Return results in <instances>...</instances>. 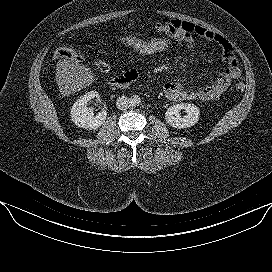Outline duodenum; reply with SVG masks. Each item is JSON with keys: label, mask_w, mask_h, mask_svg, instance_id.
Listing matches in <instances>:
<instances>
[{"label": "duodenum", "mask_w": 272, "mask_h": 272, "mask_svg": "<svg viewBox=\"0 0 272 272\" xmlns=\"http://www.w3.org/2000/svg\"><path fill=\"white\" fill-rule=\"evenodd\" d=\"M134 81V77L127 74L116 76L108 81V84L116 88H125Z\"/></svg>", "instance_id": "duodenum-1"}]
</instances>
